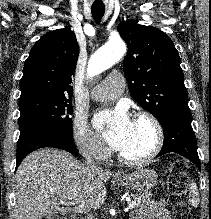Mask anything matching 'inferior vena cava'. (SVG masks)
Segmentation results:
<instances>
[{"instance_id": "1", "label": "inferior vena cava", "mask_w": 211, "mask_h": 219, "mask_svg": "<svg viewBox=\"0 0 211 219\" xmlns=\"http://www.w3.org/2000/svg\"><path fill=\"white\" fill-rule=\"evenodd\" d=\"M83 156L85 157V162H86L88 167H90V168H100V167L96 166L93 158L91 157V155L89 153H87V152L83 153ZM86 219H94V217L91 213H88L87 216H86Z\"/></svg>"}]
</instances>
